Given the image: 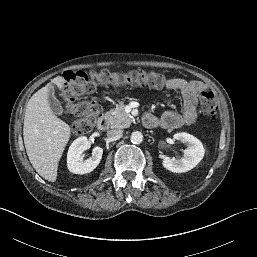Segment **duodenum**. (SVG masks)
Segmentation results:
<instances>
[{
	"label": "duodenum",
	"instance_id": "1",
	"mask_svg": "<svg viewBox=\"0 0 257 257\" xmlns=\"http://www.w3.org/2000/svg\"><path fill=\"white\" fill-rule=\"evenodd\" d=\"M108 125H109L108 117L105 113H103L100 119L98 120L97 129L99 131H104L108 128Z\"/></svg>",
	"mask_w": 257,
	"mask_h": 257
}]
</instances>
